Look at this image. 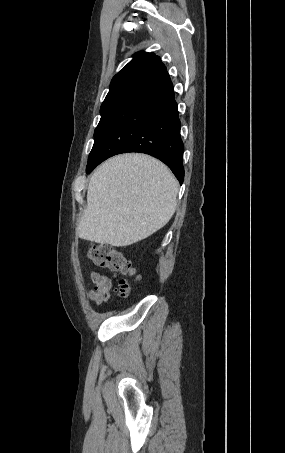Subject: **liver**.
<instances>
[{
	"label": "liver",
	"mask_w": 285,
	"mask_h": 453,
	"mask_svg": "<svg viewBox=\"0 0 285 453\" xmlns=\"http://www.w3.org/2000/svg\"><path fill=\"white\" fill-rule=\"evenodd\" d=\"M177 193L175 177L159 160L137 153L110 158L90 178L76 234L115 247L139 242L169 222Z\"/></svg>",
	"instance_id": "6515ba94"
}]
</instances>
